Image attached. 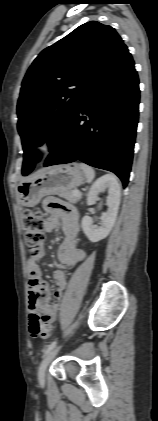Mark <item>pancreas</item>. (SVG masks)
I'll use <instances>...</instances> for the list:
<instances>
[{"mask_svg":"<svg viewBox=\"0 0 158 421\" xmlns=\"http://www.w3.org/2000/svg\"><path fill=\"white\" fill-rule=\"evenodd\" d=\"M74 191L75 190L73 189L65 191L61 193V196L65 198L66 200H68L69 202L76 203L78 200H80V196H75Z\"/></svg>","mask_w":158,"mask_h":421,"instance_id":"cf45deb5","label":"pancreas"}]
</instances>
